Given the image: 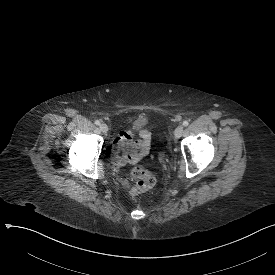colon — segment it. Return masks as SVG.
Masks as SVG:
<instances>
[{
	"instance_id": "colon-1",
	"label": "colon",
	"mask_w": 275,
	"mask_h": 275,
	"mask_svg": "<svg viewBox=\"0 0 275 275\" xmlns=\"http://www.w3.org/2000/svg\"><path fill=\"white\" fill-rule=\"evenodd\" d=\"M131 177L134 180V184L130 188V194L132 196L141 194L150 190L155 184V177L151 171L144 167H135L131 171Z\"/></svg>"
}]
</instances>
